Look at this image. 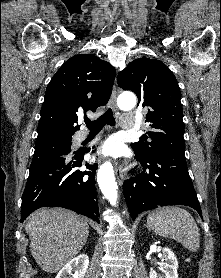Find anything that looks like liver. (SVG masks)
<instances>
[{
    "label": "liver",
    "mask_w": 221,
    "mask_h": 278,
    "mask_svg": "<svg viewBox=\"0 0 221 278\" xmlns=\"http://www.w3.org/2000/svg\"><path fill=\"white\" fill-rule=\"evenodd\" d=\"M30 251L38 265L56 273L84 247L89 227L84 218L61 208H41L26 220Z\"/></svg>",
    "instance_id": "obj_1"
}]
</instances>
